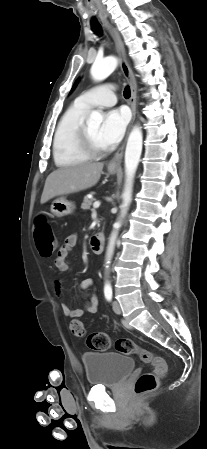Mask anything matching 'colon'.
Masks as SVG:
<instances>
[{
    "instance_id": "obj_1",
    "label": "colon",
    "mask_w": 207,
    "mask_h": 449,
    "mask_svg": "<svg viewBox=\"0 0 207 449\" xmlns=\"http://www.w3.org/2000/svg\"><path fill=\"white\" fill-rule=\"evenodd\" d=\"M34 240L39 254L42 257H51L57 248L58 241L51 226L45 221L38 220L34 229ZM69 329L74 336L83 337L85 328L81 320L73 318L69 323ZM87 345L96 351H106L111 346L108 334L94 332L88 335ZM115 350L124 355H137L144 363L153 366L152 372L141 374L135 382L134 391L137 395H144L154 391L158 386L159 377L167 373L165 360L136 345L131 339L120 338L114 342Z\"/></svg>"
}]
</instances>
